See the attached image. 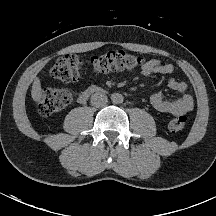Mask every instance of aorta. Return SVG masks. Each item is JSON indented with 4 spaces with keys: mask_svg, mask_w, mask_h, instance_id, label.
<instances>
[{
    "mask_svg": "<svg viewBox=\"0 0 216 216\" xmlns=\"http://www.w3.org/2000/svg\"><path fill=\"white\" fill-rule=\"evenodd\" d=\"M111 100L114 104H121L124 101V97L120 93H114L111 95Z\"/></svg>",
    "mask_w": 216,
    "mask_h": 216,
    "instance_id": "1",
    "label": "aorta"
}]
</instances>
